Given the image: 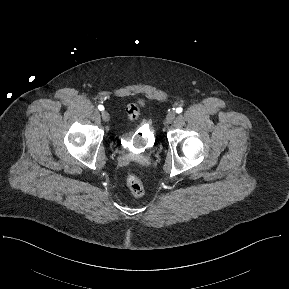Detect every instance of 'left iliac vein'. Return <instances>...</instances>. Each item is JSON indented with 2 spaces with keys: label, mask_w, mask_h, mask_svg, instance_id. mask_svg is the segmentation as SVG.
Wrapping results in <instances>:
<instances>
[{
  "label": "left iliac vein",
  "mask_w": 289,
  "mask_h": 289,
  "mask_svg": "<svg viewBox=\"0 0 289 289\" xmlns=\"http://www.w3.org/2000/svg\"><path fill=\"white\" fill-rule=\"evenodd\" d=\"M175 116H176L175 112H171V113L169 114V121L174 120Z\"/></svg>",
  "instance_id": "1"
}]
</instances>
